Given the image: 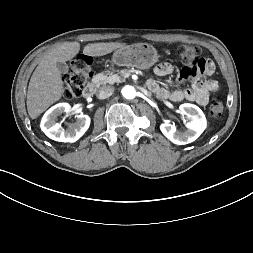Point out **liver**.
<instances>
[{"mask_svg":"<svg viewBox=\"0 0 253 253\" xmlns=\"http://www.w3.org/2000/svg\"><path fill=\"white\" fill-rule=\"evenodd\" d=\"M127 46L125 43H91L83 53L93 57L103 56ZM80 51L79 42H64L48 51L33 72L27 92V111L31 119L37 118L50 105L58 101L64 92V82L57 62H66Z\"/></svg>","mask_w":253,"mask_h":253,"instance_id":"obj_1","label":"liver"}]
</instances>
